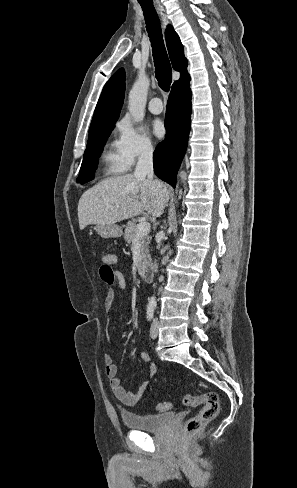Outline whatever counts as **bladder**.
<instances>
[{"instance_id": "obj_1", "label": "bladder", "mask_w": 297, "mask_h": 488, "mask_svg": "<svg viewBox=\"0 0 297 488\" xmlns=\"http://www.w3.org/2000/svg\"><path fill=\"white\" fill-rule=\"evenodd\" d=\"M174 418L171 412L141 416L132 412H122L121 419L126 428L143 432H157L163 430Z\"/></svg>"}]
</instances>
